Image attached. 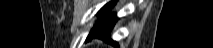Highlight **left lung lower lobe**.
Segmentation results:
<instances>
[{
  "mask_svg": "<svg viewBox=\"0 0 213 48\" xmlns=\"http://www.w3.org/2000/svg\"><path fill=\"white\" fill-rule=\"evenodd\" d=\"M108 9L99 13L100 19L90 31L87 39L100 38L118 47L117 43L110 39L111 29L115 25L117 18L115 14H110Z\"/></svg>",
  "mask_w": 213,
  "mask_h": 48,
  "instance_id": "1",
  "label": "left lung lower lobe"
}]
</instances>
